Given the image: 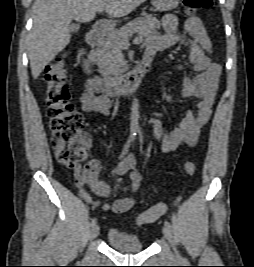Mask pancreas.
<instances>
[{"label":"pancreas","instance_id":"1","mask_svg":"<svg viewBox=\"0 0 254 267\" xmlns=\"http://www.w3.org/2000/svg\"><path fill=\"white\" fill-rule=\"evenodd\" d=\"M160 28V22L153 16L139 17L119 30L109 32L100 46L91 53V59L98 65L103 74L119 77L123 68V43L128 42V36L138 33L144 38L151 37Z\"/></svg>","mask_w":254,"mask_h":267}]
</instances>
